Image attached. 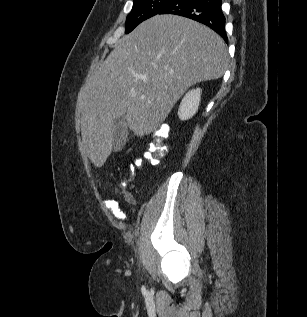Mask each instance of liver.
I'll use <instances>...</instances> for the list:
<instances>
[{
    "label": "liver",
    "mask_w": 307,
    "mask_h": 317,
    "mask_svg": "<svg viewBox=\"0 0 307 317\" xmlns=\"http://www.w3.org/2000/svg\"><path fill=\"white\" fill-rule=\"evenodd\" d=\"M228 63L225 42L205 25L176 15L141 23L116 43L78 95L92 163L101 167L110 155L115 120L125 115L134 134H150L189 87L222 77Z\"/></svg>",
    "instance_id": "liver-1"
}]
</instances>
